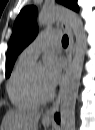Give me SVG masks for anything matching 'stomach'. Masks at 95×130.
I'll use <instances>...</instances> for the list:
<instances>
[{
    "instance_id": "stomach-1",
    "label": "stomach",
    "mask_w": 95,
    "mask_h": 130,
    "mask_svg": "<svg viewBox=\"0 0 95 130\" xmlns=\"http://www.w3.org/2000/svg\"><path fill=\"white\" fill-rule=\"evenodd\" d=\"M44 125H45V126H48L49 124H48V123H45Z\"/></svg>"
}]
</instances>
